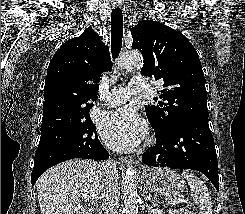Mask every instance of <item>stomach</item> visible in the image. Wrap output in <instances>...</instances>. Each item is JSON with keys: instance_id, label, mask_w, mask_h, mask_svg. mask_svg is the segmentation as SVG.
Here are the masks:
<instances>
[{"instance_id": "obj_1", "label": "stomach", "mask_w": 245, "mask_h": 214, "mask_svg": "<svg viewBox=\"0 0 245 214\" xmlns=\"http://www.w3.org/2000/svg\"><path fill=\"white\" fill-rule=\"evenodd\" d=\"M142 179L149 189L165 196H178L186 188L183 178L169 168H148L142 171Z\"/></svg>"}]
</instances>
